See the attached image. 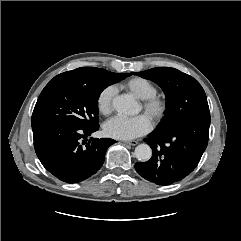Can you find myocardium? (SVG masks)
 Wrapping results in <instances>:
<instances>
[{
    "instance_id": "1",
    "label": "myocardium",
    "mask_w": 241,
    "mask_h": 241,
    "mask_svg": "<svg viewBox=\"0 0 241 241\" xmlns=\"http://www.w3.org/2000/svg\"><path fill=\"white\" fill-rule=\"evenodd\" d=\"M142 107L149 118L157 123L160 122L167 111V101L157 95L144 99L142 102Z\"/></svg>"
}]
</instances>
